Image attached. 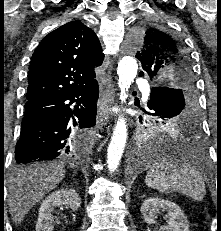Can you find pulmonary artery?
Wrapping results in <instances>:
<instances>
[{"label":"pulmonary artery","instance_id":"pulmonary-artery-1","mask_svg":"<svg viewBox=\"0 0 221 231\" xmlns=\"http://www.w3.org/2000/svg\"><path fill=\"white\" fill-rule=\"evenodd\" d=\"M144 83H145L144 80H139V81H138V84H140V85H143Z\"/></svg>","mask_w":221,"mask_h":231}]
</instances>
